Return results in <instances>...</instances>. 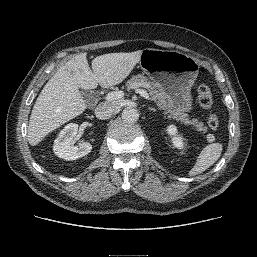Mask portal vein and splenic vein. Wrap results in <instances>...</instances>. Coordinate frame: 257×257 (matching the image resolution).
<instances>
[{
  "label": "portal vein and splenic vein",
  "instance_id": "portal-vein-and-splenic-vein-1",
  "mask_svg": "<svg viewBox=\"0 0 257 257\" xmlns=\"http://www.w3.org/2000/svg\"><path fill=\"white\" fill-rule=\"evenodd\" d=\"M137 93H139L142 97H144L145 99L147 100H151L148 92L144 89H137L136 90ZM124 96V92L123 91H113V92H110L108 93L106 96H105V99L107 101H111V100H117V99H120Z\"/></svg>",
  "mask_w": 257,
  "mask_h": 257
}]
</instances>
